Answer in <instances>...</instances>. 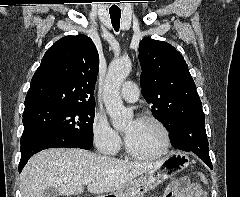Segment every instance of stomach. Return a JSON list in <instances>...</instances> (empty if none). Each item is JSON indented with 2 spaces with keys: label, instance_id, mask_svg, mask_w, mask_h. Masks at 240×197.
Listing matches in <instances>:
<instances>
[{
  "label": "stomach",
  "instance_id": "stomach-1",
  "mask_svg": "<svg viewBox=\"0 0 240 197\" xmlns=\"http://www.w3.org/2000/svg\"><path fill=\"white\" fill-rule=\"evenodd\" d=\"M189 157L181 152H171L162 163L145 172L139 178L125 184L118 191L107 197H143L147 192L157 188L168 178L185 169L189 165ZM104 197V196H103Z\"/></svg>",
  "mask_w": 240,
  "mask_h": 197
}]
</instances>
